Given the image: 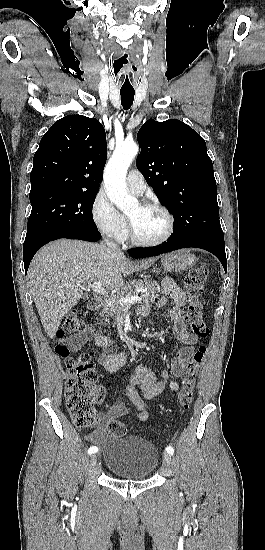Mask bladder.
Listing matches in <instances>:
<instances>
[{"label":"bladder","mask_w":265,"mask_h":550,"mask_svg":"<svg viewBox=\"0 0 265 550\" xmlns=\"http://www.w3.org/2000/svg\"><path fill=\"white\" fill-rule=\"evenodd\" d=\"M158 459L156 447L138 436H113L104 453L107 469L122 479L148 478L156 468Z\"/></svg>","instance_id":"obj_1"}]
</instances>
